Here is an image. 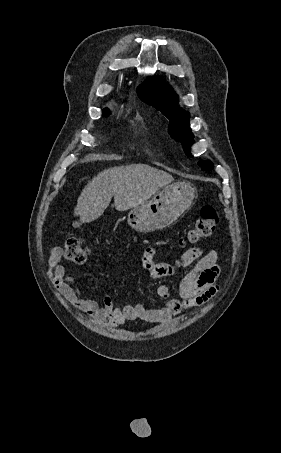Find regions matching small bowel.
<instances>
[{"instance_id":"1","label":"small bowel","mask_w":281,"mask_h":453,"mask_svg":"<svg viewBox=\"0 0 281 453\" xmlns=\"http://www.w3.org/2000/svg\"><path fill=\"white\" fill-rule=\"evenodd\" d=\"M63 259L62 248L52 250L48 257V264L56 287L80 311L109 325H121L127 321L138 319L152 323L163 322L174 314L182 313L187 308L205 304L219 290L217 279L220 267L217 263V253L214 250L202 252L198 247H193L172 262H157L154 247L145 248L142 262L153 278L174 277L176 274L186 271L185 276L177 285V291L183 301L172 298L170 286L161 284L156 288V292L164 299V304L158 308H147L141 304L113 306L109 296L105 298V305L85 298L77 289L72 277L67 275L62 264Z\"/></svg>"}]
</instances>
